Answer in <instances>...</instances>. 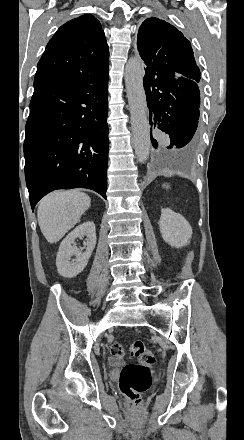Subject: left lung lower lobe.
<instances>
[{
  "label": "left lung lower lobe",
  "instance_id": "obj_1",
  "mask_svg": "<svg viewBox=\"0 0 244 440\" xmlns=\"http://www.w3.org/2000/svg\"><path fill=\"white\" fill-rule=\"evenodd\" d=\"M143 84L146 91L150 124L170 137V145L160 146L152 137L158 154L190 151L198 126L200 91L198 81L178 77L175 73L146 67Z\"/></svg>",
  "mask_w": 244,
  "mask_h": 440
}]
</instances>
